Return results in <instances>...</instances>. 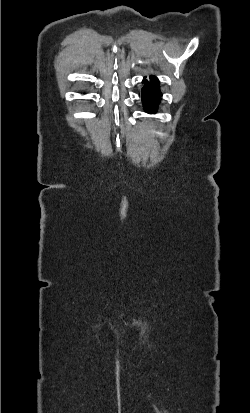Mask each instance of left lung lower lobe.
<instances>
[{
    "label": "left lung lower lobe",
    "mask_w": 250,
    "mask_h": 413,
    "mask_svg": "<svg viewBox=\"0 0 250 413\" xmlns=\"http://www.w3.org/2000/svg\"><path fill=\"white\" fill-rule=\"evenodd\" d=\"M144 84L145 86L141 91L144 108L148 113H155L162 96L158 86V79L155 76H150V80L144 78Z\"/></svg>",
    "instance_id": "0a47b994"
}]
</instances>
